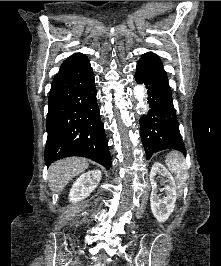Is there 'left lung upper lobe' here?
<instances>
[{
    "mask_svg": "<svg viewBox=\"0 0 221 266\" xmlns=\"http://www.w3.org/2000/svg\"><path fill=\"white\" fill-rule=\"evenodd\" d=\"M139 61L149 64V65L162 67V62L160 58L156 54L151 53V52L143 54Z\"/></svg>",
    "mask_w": 221,
    "mask_h": 266,
    "instance_id": "1",
    "label": "left lung upper lobe"
}]
</instances>
